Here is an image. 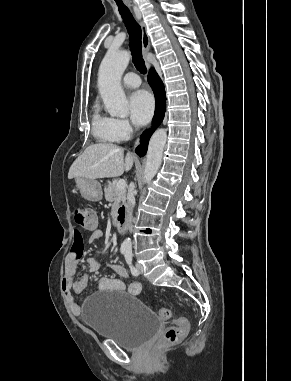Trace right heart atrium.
Masks as SVG:
<instances>
[{"instance_id": "d8ad5b80", "label": "right heart atrium", "mask_w": 291, "mask_h": 381, "mask_svg": "<svg viewBox=\"0 0 291 381\" xmlns=\"http://www.w3.org/2000/svg\"><path fill=\"white\" fill-rule=\"evenodd\" d=\"M112 119V126L116 134L121 138L125 139L127 138L131 131L132 127L128 120L123 118H111Z\"/></svg>"}]
</instances>
